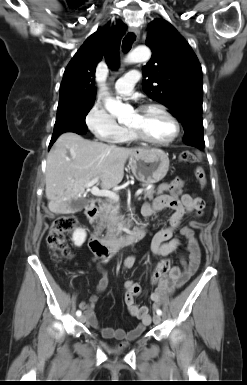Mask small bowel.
<instances>
[{
    "mask_svg": "<svg viewBox=\"0 0 247 385\" xmlns=\"http://www.w3.org/2000/svg\"><path fill=\"white\" fill-rule=\"evenodd\" d=\"M183 185L184 182L181 179L162 184L159 187V193L156 198L152 202L144 204L142 208L143 215L147 217L164 208L173 210L169 225L157 231L152 238L151 250L156 255L166 257L176 251L180 245V239L174 236V234L180 227L183 219L192 213L200 216L204 212L205 201L195 194L183 193ZM198 226L199 223L197 221H191L188 226L181 227L179 230L180 236L186 240L187 252V259L180 256L182 267L171 265L168 259H163L159 262L160 264L167 261L169 263V270L164 274L157 273L155 270L153 274L152 281L157 286L155 291L150 294L149 299L153 302L154 308L161 304L165 295L173 294L176 289L181 288L197 271L201 254L194 229ZM134 265L135 258L128 257L123 262V269H131ZM98 269L102 277L97 284L96 293L89 300L81 301L79 305L83 310L85 321L92 328L98 330L105 338L128 341L138 338L151 323L148 307L140 306L135 302V296L140 292V286L131 281H127L124 284V300L130 314L140 321L137 327L128 332L122 329L103 328L98 322L94 309L99 296L106 290L109 279L107 271L101 265H98ZM132 285L136 286L137 292L131 289Z\"/></svg>",
    "mask_w": 247,
    "mask_h": 385,
    "instance_id": "obj_1",
    "label": "small bowel"
}]
</instances>
